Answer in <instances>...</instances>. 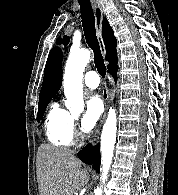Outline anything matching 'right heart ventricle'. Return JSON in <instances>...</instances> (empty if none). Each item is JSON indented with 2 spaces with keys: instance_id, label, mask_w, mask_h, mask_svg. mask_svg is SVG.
I'll return each instance as SVG.
<instances>
[{
  "instance_id": "e07e8e85",
  "label": "right heart ventricle",
  "mask_w": 178,
  "mask_h": 195,
  "mask_svg": "<svg viewBox=\"0 0 178 195\" xmlns=\"http://www.w3.org/2000/svg\"><path fill=\"white\" fill-rule=\"evenodd\" d=\"M73 118L59 102H54L46 116L45 133L48 140L56 146L68 147L72 144Z\"/></svg>"
}]
</instances>
